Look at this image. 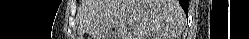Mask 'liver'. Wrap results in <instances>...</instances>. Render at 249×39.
I'll return each instance as SVG.
<instances>
[{
	"label": "liver",
	"instance_id": "6515ba94",
	"mask_svg": "<svg viewBox=\"0 0 249 39\" xmlns=\"http://www.w3.org/2000/svg\"><path fill=\"white\" fill-rule=\"evenodd\" d=\"M183 22L178 0H83L80 37L171 39L179 35Z\"/></svg>",
	"mask_w": 249,
	"mask_h": 39
}]
</instances>
